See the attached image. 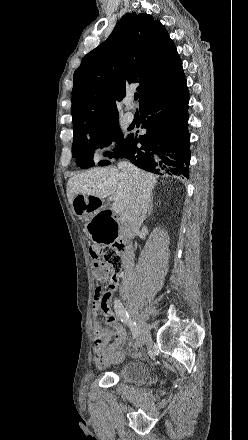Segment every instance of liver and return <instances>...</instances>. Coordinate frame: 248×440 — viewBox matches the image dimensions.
Returning a JSON list of instances; mask_svg holds the SVG:
<instances>
[{
  "mask_svg": "<svg viewBox=\"0 0 248 440\" xmlns=\"http://www.w3.org/2000/svg\"><path fill=\"white\" fill-rule=\"evenodd\" d=\"M150 190L154 187L156 177L149 172L141 171ZM135 183L116 167L94 168L77 174L67 182V198L72 204L76 195L94 196L99 199L111 196L120 203L123 210L132 200Z\"/></svg>",
  "mask_w": 248,
  "mask_h": 440,
  "instance_id": "obj_1",
  "label": "liver"
}]
</instances>
